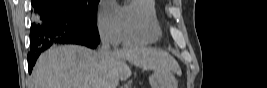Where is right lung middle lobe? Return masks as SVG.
I'll use <instances>...</instances> for the list:
<instances>
[{
    "mask_svg": "<svg viewBox=\"0 0 267 88\" xmlns=\"http://www.w3.org/2000/svg\"><path fill=\"white\" fill-rule=\"evenodd\" d=\"M89 23H97V5L100 0H53Z\"/></svg>",
    "mask_w": 267,
    "mask_h": 88,
    "instance_id": "1",
    "label": "right lung middle lobe"
}]
</instances>
